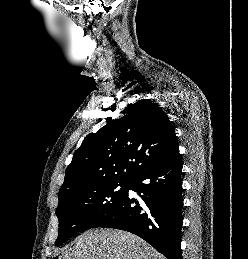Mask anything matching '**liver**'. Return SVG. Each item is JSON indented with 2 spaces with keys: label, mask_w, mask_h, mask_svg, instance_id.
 I'll return each mask as SVG.
<instances>
[{
  "label": "liver",
  "mask_w": 248,
  "mask_h": 259,
  "mask_svg": "<svg viewBox=\"0 0 248 259\" xmlns=\"http://www.w3.org/2000/svg\"><path fill=\"white\" fill-rule=\"evenodd\" d=\"M58 259H166L140 237L121 230L95 229L81 234Z\"/></svg>",
  "instance_id": "6515ba94"
}]
</instances>
